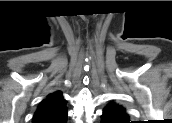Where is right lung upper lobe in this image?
Wrapping results in <instances>:
<instances>
[{
    "instance_id": "obj_1",
    "label": "right lung upper lobe",
    "mask_w": 172,
    "mask_h": 123,
    "mask_svg": "<svg viewBox=\"0 0 172 123\" xmlns=\"http://www.w3.org/2000/svg\"><path fill=\"white\" fill-rule=\"evenodd\" d=\"M66 102L60 91L47 96L38 106L32 123H66Z\"/></svg>"
}]
</instances>
